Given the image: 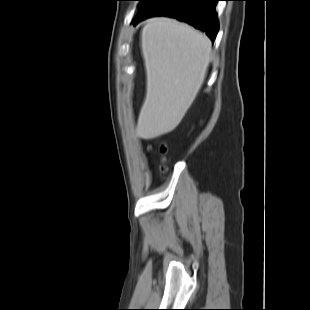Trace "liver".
Here are the masks:
<instances>
[{"mask_svg": "<svg viewBox=\"0 0 310 310\" xmlns=\"http://www.w3.org/2000/svg\"><path fill=\"white\" fill-rule=\"evenodd\" d=\"M147 88L136 134L153 139L174 130L196 98L211 61L210 39L170 18L149 19L141 32Z\"/></svg>", "mask_w": 310, "mask_h": 310, "instance_id": "1", "label": "liver"}]
</instances>
